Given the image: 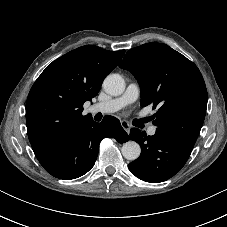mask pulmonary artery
Wrapping results in <instances>:
<instances>
[{
    "mask_svg": "<svg viewBox=\"0 0 227 227\" xmlns=\"http://www.w3.org/2000/svg\"><path fill=\"white\" fill-rule=\"evenodd\" d=\"M139 96V86L136 83H130L122 95L104 102L97 103L94 105L93 110L95 112H101L104 114L114 113L125 106L134 103ZM147 132L149 135L153 136L156 133V127H149Z\"/></svg>",
    "mask_w": 227,
    "mask_h": 227,
    "instance_id": "obj_1",
    "label": "pulmonary artery"
}]
</instances>
